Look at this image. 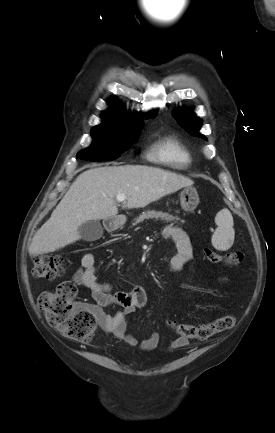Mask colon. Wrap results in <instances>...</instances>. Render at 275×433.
I'll return each instance as SVG.
<instances>
[{
  "instance_id": "1",
  "label": "colon",
  "mask_w": 275,
  "mask_h": 433,
  "mask_svg": "<svg viewBox=\"0 0 275 433\" xmlns=\"http://www.w3.org/2000/svg\"><path fill=\"white\" fill-rule=\"evenodd\" d=\"M210 263H225L236 266L242 261L239 252L225 255L204 249ZM32 274L39 279H52L63 273V260L60 257L36 255L33 260ZM77 288L69 282H63L55 290L43 292L38 300L46 320L57 328L64 336L79 342L91 340L96 321L93 313L83 304L76 302ZM168 325L180 336L190 340H207L217 334L232 329L235 318L225 315L213 321L201 324H186L168 321Z\"/></svg>"
}]
</instances>
